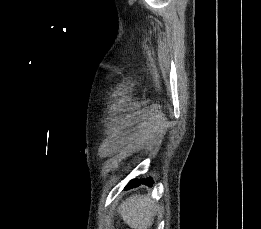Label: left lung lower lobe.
<instances>
[{
  "label": "left lung lower lobe",
  "mask_w": 261,
  "mask_h": 229,
  "mask_svg": "<svg viewBox=\"0 0 261 229\" xmlns=\"http://www.w3.org/2000/svg\"><path fill=\"white\" fill-rule=\"evenodd\" d=\"M143 183L148 184V185H152L153 184V180H152V178L149 177V178L144 179ZM140 184H141L140 180L134 179L126 186V189L137 187Z\"/></svg>",
  "instance_id": "left-lung-lower-lobe-1"
}]
</instances>
